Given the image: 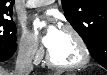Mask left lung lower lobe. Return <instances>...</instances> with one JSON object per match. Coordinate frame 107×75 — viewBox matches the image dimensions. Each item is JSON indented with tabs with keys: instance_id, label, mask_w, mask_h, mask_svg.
I'll use <instances>...</instances> for the list:
<instances>
[{
	"instance_id": "left-lung-lower-lobe-1",
	"label": "left lung lower lobe",
	"mask_w": 107,
	"mask_h": 75,
	"mask_svg": "<svg viewBox=\"0 0 107 75\" xmlns=\"http://www.w3.org/2000/svg\"><path fill=\"white\" fill-rule=\"evenodd\" d=\"M107 48L102 45L95 53L92 54V57L103 67L107 66ZM107 69V68H106Z\"/></svg>"
}]
</instances>
